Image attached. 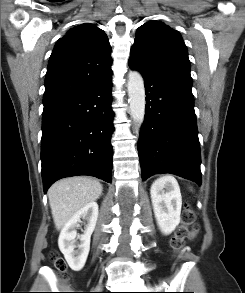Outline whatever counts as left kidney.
<instances>
[{
	"label": "left kidney",
	"mask_w": 245,
	"mask_h": 293,
	"mask_svg": "<svg viewBox=\"0 0 245 293\" xmlns=\"http://www.w3.org/2000/svg\"><path fill=\"white\" fill-rule=\"evenodd\" d=\"M150 194L161 232L171 234L180 223L182 197L178 182L171 176L158 178L153 182Z\"/></svg>",
	"instance_id": "5707ae66"
}]
</instances>
